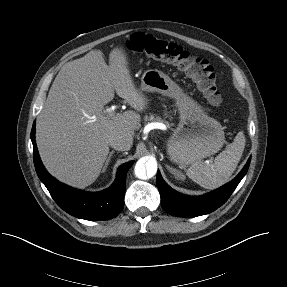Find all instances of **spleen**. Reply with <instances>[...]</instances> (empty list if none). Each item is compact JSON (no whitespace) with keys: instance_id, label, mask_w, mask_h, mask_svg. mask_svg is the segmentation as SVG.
<instances>
[{"instance_id":"1","label":"spleen","mask_w":287,"mask_h":287,"mask_svg":"<svg viewBox=\"0 0 287 287\" xmlns=\"http://www.w3.org/2000/svg\"><path fill=\"white\" fill-rule=\"evenodd\" d=\"M246 138L243 131L237 133L234 142L227 145L214 160L208 164L201 160L188 168L187 176L206 189H215L228 182L235 171L245 148Z\"/></svg>"}]
</instances>
